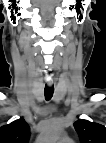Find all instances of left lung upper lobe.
Masks as SVG:
<instances>
[{"instance_id": "obj_1", "label": "left lung upper lobe", "mask_w": 106, "mask_h": 143, "mask_svg": "<svg viewBox=\"0 0 106 143\" xmlns=\"http://www.w3.org/2000/svg\"><path fill=\"white\" fill-rule=\"evenodd\" d=\"M81 143H106V128L98 123L78 120L74 123Z\"/></svg>"}]
</instances>
